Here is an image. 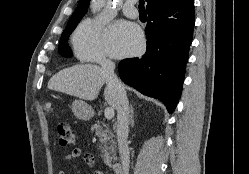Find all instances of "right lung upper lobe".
<instances>
[{"instance_id":"obj_1","label":"right lung upper lobe","mask_w":249,"mask_h":174,"mask_svg":"<svg viewBox=\"0 0 249 174\" xmlns=\"http://www.w3.org/2000/svg\"><path fill=\"white\" fill-rule=\"evenodd\" d=\"M147 1V12L152 9L158 8L162 5L174 3L178 0H146ZM90 0H80L75 12L72 14L68 23L80 21L84 14L87 12Z\"/></svg>"}]
</instances>
